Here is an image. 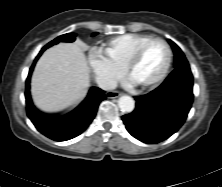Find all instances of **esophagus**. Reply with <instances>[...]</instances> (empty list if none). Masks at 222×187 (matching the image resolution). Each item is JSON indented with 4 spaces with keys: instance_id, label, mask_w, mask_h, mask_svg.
<instances>
[{
    "instance_id": "1",
    "label": "esophagus",
    "mask_w": 222,
    "mask_h": 187,
    "mask_svg": "<svg viewBox=\"0 0 222 187\" xmlns=\"http://www.w3.org/2000/svg\"><path fill=\"white\" fill-rule=\"evenodd\" d=\"M120 96V93L117 91H108L106 92L107 98H118Z\"/></svg>"
}]
</instances>
